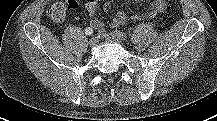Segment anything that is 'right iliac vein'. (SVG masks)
<instances>
[{"label":"right iliac vein","instance_id":"1","mask_svg":"<svg viewBox=\"0 0 217 121\" xmlns=\"http://www.w3.org/2000/svg\"><path fill=\"white\" fill-rule=\"evenodd\" d=\"M98 42H99L98 37H92L89 41V46L95 47V46H97Z\"/></svg>","mask_w":217,"mask_h":121}]
</instances>
